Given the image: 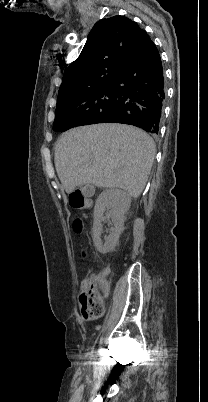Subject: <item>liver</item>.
Segmentation results:
<instances>
[{"instance_id":"liver-1","label":"liver","mask_w":208,"mask_h":402,"mask_svg":"<svg viewBox=\"0 0 208 402\" xmlns=\"http://www.w3.org/2000/svg\"><path fill=\"white\" fill-rule=\"evenodd\" d=\"M155 158V144L143 130L125 124L73 128L55 146V168L67 194L86 184L142 194Z\"/></svg>"}]
</instances>
